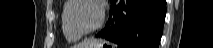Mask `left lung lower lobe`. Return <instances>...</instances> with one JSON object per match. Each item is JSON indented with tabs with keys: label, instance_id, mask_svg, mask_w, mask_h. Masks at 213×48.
<instances>
[{
	"label": "left lung lower lobe",
	"instance_id": "obj_1",
	"mask_svg": "<svg viewBox=\"0 0 213 48\" xmlns=\"http://www.w3.org/2000/svg\"><path fill=\"white\" fill-rule=\"evenodd\" d=\"M110 1L109 20L97 37L105 38L121 48H158L166 0Z\"/></svg>",
	"mask_w": 213,
	"mask_h": 48
}]
</instances>
